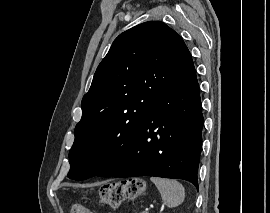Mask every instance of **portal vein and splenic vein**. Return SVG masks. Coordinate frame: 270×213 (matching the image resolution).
<instances>
[{"label": "portal vein and splenic vein", "mask_w": 270, "mask_h": 213, "mask_svg": "<svg viewBox=\"0 0 270 213\" xmlns=\"http://www.w3.org/2000/svg\"><path fill=\"white\" fill-rule=\"evenodd\" d=\"M149 209L146 208L145 211H143L142 213H148Z\"/></svg>", "instance_id": "1"}]
</instances>
